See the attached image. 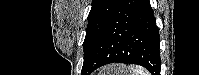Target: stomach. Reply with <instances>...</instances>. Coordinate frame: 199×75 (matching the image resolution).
<instances>
[{
	"label": "stomach",
	"mask_w": 199,
	"mask_h": 75,
	"mask_svg": "<svg viewBox=\"0 0 199 75\" xmlns=\"http://www.w3.org/2000/svg\"><path fill=\"white\" fill-rule=\"evenodd\" d=\"M112 69H114V70L108 71V72H110V73H108L109 75H123V73H124V68L121 66H115Z\"/></svg>",
	"instance_id": "stomach-1"
}]
</instances>
